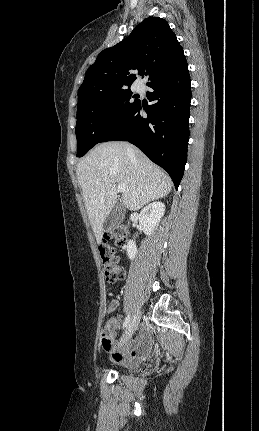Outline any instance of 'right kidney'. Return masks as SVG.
<instances>
[{"label":"right kidney","instance_id":"ca27d5eb","mask_svg":"<svg viewBox=\"0 0 259 431\" xmlns=\"http://www.w3.org/2000/svg\"><path fill=\"white\" fill-rule=\"evenodd\" d=\"M165 213V205L162 202H153L145 206L139 214V223L141 229L147 236L154 233L161 218ZM137 254V246L133 240H129L127 244V255L130 260H133Z\"/></svg>","mask_w":259,"mask_h":431}]
</instances>
